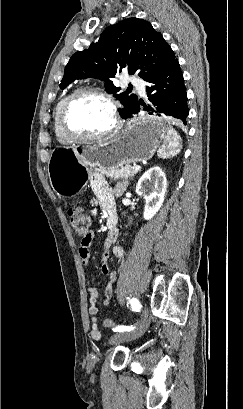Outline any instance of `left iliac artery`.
<instances>
[{
  "instance_id": "1",
  "label": "left iliac artery",
  "mask_w": 243,
  "mask_h": 409,
  "mask_svg": "<svg viewBox=\"0 0 243 409\" xmlns=\"http://www.w3.org/2000/svg\"><path fill=\"white\" fill-rule=\"evenodd\" d=\"M133 304V309L136 311H140L141 309V305L139 304V302L137 300H134V302H132ZM135 327L134 326H124V325H119L117 326L115 329H113L115 332H124V331H131L133 330Z\"/></svg>"
}]
</instances>
